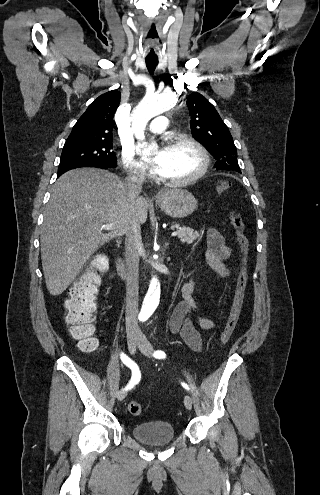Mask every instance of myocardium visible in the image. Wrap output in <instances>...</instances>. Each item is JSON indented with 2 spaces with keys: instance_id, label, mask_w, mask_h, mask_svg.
<instances>
[{
  "instance_id": "1",
  "label": "myocardium",
  "mask_w": 320,
  "mask_h": 495,
  "mask_svg": "<svg viewBox=\"0 0 320 495\" xmlns=\"http://www.w3.org/2000/svg\"><path fill=\"white\" fill-rule=\"evenodd\" d=\"M178 145H188L192 147L200 157V167L194 174L184 179L172 180L168 178H163V180L172 186H187L195 183L206 174L210 164L209 155L207 150L197 140L191 137L180 136V137L171 138L167 144V148H172Z\"/></svg>"
}]
</instances>
